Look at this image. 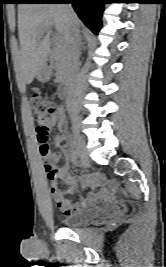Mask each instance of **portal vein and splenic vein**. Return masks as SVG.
I'll use <instances>...</instances> for the list:
<instances>
[{
	"instance_id": "obj_1",
	"label": "portal vein and splenic vein",
	"mask_w": 166,
	"mask_h": 267,
	"mask_svg": "<svg viewBox=\"0 0 166 267\" xmlns=\"http://www.w3.org/2000/svg\"><path fill=\"white\" fill-rule=\"evenodd\" d=\"M56 41H57V45H61L62 44V40L60 38V35H56Z\"/></svg>"
}]
</instances>
